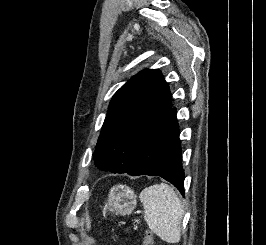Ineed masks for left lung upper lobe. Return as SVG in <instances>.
Masks as SVG:
<instances>
[{
  "label": "left lung upper lobe",
  "instance_id": "obj_1",
  "mask_svg": "<svg viewBox=\"0 0 266 245\" xmlns=\"http://www.w3.org/2000/svg\"><path fill=\"white\" fill-rule=\"evenodd\" d=\"M171 93L159 70L133 76L113 96L95 149L100 170L125 173L140 140L171 108Z\"/></svg>",
  "mask_w": 266,
  "mask_h": 245
}]
</instances>
